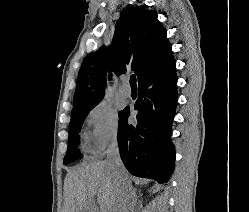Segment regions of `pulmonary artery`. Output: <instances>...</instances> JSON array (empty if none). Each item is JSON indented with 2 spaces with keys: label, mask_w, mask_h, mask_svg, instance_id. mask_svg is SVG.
Returning <instances> with one entry per match:
<instances>
[{
  "label": "pulmonary artery",
  "mask_w": 249,
  "mask_h": 212,
  "mask_svg": "<svg viewBox=\"0 0 249 212\" xmlns=\"http://www.w3.org/2000/svg\"><path fill=\"white\" fill-rule=\"evenodd\" d=\"M121 80L122 85L119 88V93L123 98H128L131 95L130 77L126 74L122 76Z\"/></svg>",
  "instance_id": "e3ab8cb5"
}]
</instances>
